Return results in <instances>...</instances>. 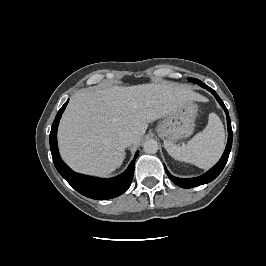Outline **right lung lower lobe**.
Segmentation results:
<instances>
[{"mask_svg": "<svg viewBox=\"0 0 266 266\" xmlns=\"http://www.w3.org/2000/svg\"><path fill=\"white\" fill-rule=\"evenodd\" d=\"M67 103L68 101L58 111L49 136L51 154L57 171L76 191L88 198L106 200L121 195L131 184L134 174V163L138 152L135 154V158L132 160L126 171L111 179H99L72 171L62 161L57 145L58 124Z\"/></svg>", "mask_w": 266, "mask_h": 266, "instance_id": "98d812e1", "label": "right lung lower lobe"}]
</instances>
